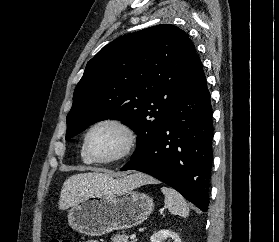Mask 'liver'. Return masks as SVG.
<instances>
[{
	"mask_svg": "<svg viewBox=\"0 0 279 242\" xmlns=\"http://www.w3.org/2000/svg\"><path fill=\"white\" fill-rule=\"evenodd\" d=\"M153 182L154 179L143 174L130 175L118 180L98 172L75 174L63 183L59 209H67L86 197L106 194L117 189H134Z\"/></svg>",
	"mask_w": 279,
	"mask_h": 242,
	"instance_id": "1",
	"label": "liver"
}]
</instances>
